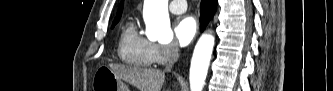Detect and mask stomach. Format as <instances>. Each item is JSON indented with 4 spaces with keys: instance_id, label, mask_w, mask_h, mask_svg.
Wrapping results in <instances>:
<instances>
[{
    "instance_id": "obj_1",
    "label": "stomach",
    "mask_w": 333,
    "mask_h": 91,
    "mask_svg": "<svg viewBox=\"0 0 333 91\" xmlns=\"http://www.w3.org/2000/svg\"><path fill=\"white\" fill-rule=\"evenodd\" d=\"M93 91H129L121 78L116 76L107 66H100L92 81Z\"/></svg>"
}]
</instances>
